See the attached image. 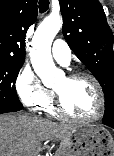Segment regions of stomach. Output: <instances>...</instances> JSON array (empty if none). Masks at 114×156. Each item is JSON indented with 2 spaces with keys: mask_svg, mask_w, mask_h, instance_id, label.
I'll use <instances>...</instances> for the list:
<instances>
[{
  "mask_svg": "<svg viewBox=\"0 0 114 156\" xmlns=\"http://www.w3.org/2000/svg\"><path fill=\"white\" fill-rule=\"evenodd\" d=\"M55 156H114V139L100 125L74 126L61 138Z\"/></svg>",
  "mask_w": 114,
  "mask_h": 156,
  "instance_id": "obj_1",
  "label": "stomach"
}]
</instances>
